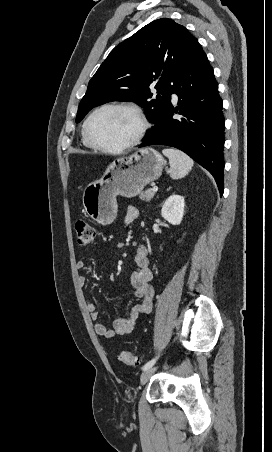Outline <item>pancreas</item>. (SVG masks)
<instances>
[{"mask_svg":"<svg viewBox=\"0 0 272 452\" xmlns=\"http://www.w3.org/2000/svg\"><path fill=\"white\" fill-rule=\"evenodd\" d=\"M155 195L152 189H148L140 194V199L146 202H149Z\"/></svg>","mask_w":272,"mask_h":452,"instance_id":"obj_1","label":"pancreas"}]
</instances>
